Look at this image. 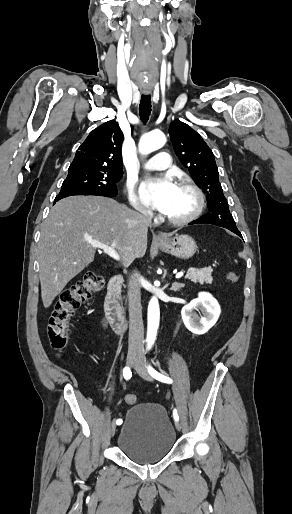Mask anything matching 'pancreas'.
<instances>
[{"label":"pancreas","mask_w":292,"mask_h":514,"mask_svg":"<svg viewBox=\"0 0 292 514\" xmlns=\"http://www.w3.org/2000/svg\"><path fill=\"white\" fill-rule=\"evenodd\" d=\"M212 268H201V270H196V268H189L185 278H189L191 282L194 284H212Z\"/></svg>","instance_id":"1"}]
</instances>
